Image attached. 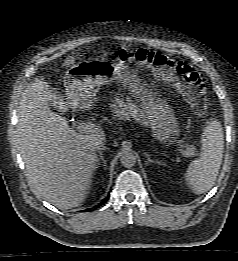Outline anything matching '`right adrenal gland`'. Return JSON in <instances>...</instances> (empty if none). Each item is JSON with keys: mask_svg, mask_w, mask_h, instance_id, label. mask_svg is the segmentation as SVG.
I'll list each match as a JSON object with an SVG mask.
<instances>
[{"mask_svg": "<svg viewBox=\"0 0 238 261\" xmlns=\"http://www.w3.org/2000/svg\"><path fill=\"white\" fill-rule=\"evenodd\" d=\"M102 150H108V148L104 147ZM100 161H103V165L105 167L107 166L106 160L104 159V156H103V151H99V158L97 159V167H99Z\"/></svg>", "mask_w": 238, "mask_h": 261, "instance_id": "1", "label": "right adrenal gland"}]
</instances>
